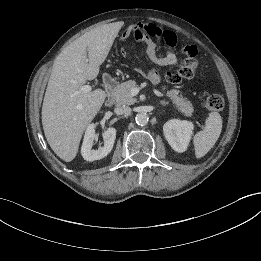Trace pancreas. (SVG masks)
I'll return each instance as SVG.
<instances>
[{"label": "pancreas", "instance_id": "obj_1", "mask_svg": "<svg viewBox=\"0 0 261 261\" xmlns=\"http://www.w3.org/2000/svg\"><path fill=\"white\" fill-rule=\"evenodd\" d=\"M136 87L134 80H128L119 84L115 89V100L117 105H132L136 102V99L131 95V90ZM166 86L162 87L165 90ZM167 96L172 100L178 111L185 116H191L193 113V107L187 98L179 94V90L170 89L167 90Z\"/></svg>", "mask_w": 261, "mask_h": 261}]
</instances>
